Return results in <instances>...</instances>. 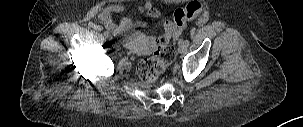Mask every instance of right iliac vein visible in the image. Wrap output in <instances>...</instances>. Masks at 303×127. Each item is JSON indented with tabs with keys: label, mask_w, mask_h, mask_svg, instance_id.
I'll list each match as a JSON object with an SVG mask.
<instances>
[{
	"label": "right iliac vein",
	"mask_w": 303,
	"mask_h": 127,
	"mask_svg": "<svg viewBox=\"0 0 303 127\" xmlns=\"http://www.w3.org/2000/svg\"><path fill=\"white\" fill-rule=\"evenodd\" d=\"M109 42L112 45V47H114L115 49L119 50V46L114 42V40L112 39V37H109Z\"/></svg>",
	"instance_id": "63e3f726"
}]
</instances>
